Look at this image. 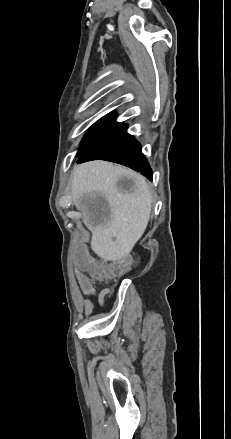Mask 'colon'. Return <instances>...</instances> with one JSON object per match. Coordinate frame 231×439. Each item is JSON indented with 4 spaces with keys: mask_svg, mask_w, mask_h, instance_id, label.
Segmentation results:
<instances>
[{
    "mask_svg": "<svg viewBox=\"0 0 231 439\" xmlns=\"http://www.w3.org/2000/svg\"><path fill=\"white\" fill-rule=\"evenodd\" d=\"M76 251L79 255L74 258L78 284L83 287L84 294L94 297L93 279H104L123 274L127 269V263H120L113 266H104L92 256H87L90 248L78 246Z\"/></svg>",
    "mask_w": 231,
    "mask_h": 439,
    "instance_id": "5ec220e1",
    "label": "colon"
}]
</instances>
